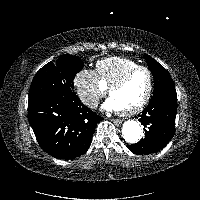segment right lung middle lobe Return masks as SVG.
<instances>
[{
    "instance_id": "right-lung-middle-lobe-1",
    "label": "right lung middle lobe",
    "mask_w": 200,
    "mask_h": 200,
    "mask_svg": "<svg viewBox=\"0 0 200 200\" xmlns=\"http://www.w3.org/2000/svg\"><path fill=\"white\" fill-rule=\"evenodd\" d=\"M78 57L61 55L56 63L49 62L34 76L29 90V99L40 96L69 98L75 94L73 79L83 68Z\"/></svg>"
}]
</instances>
